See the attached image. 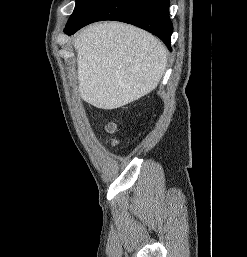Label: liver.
Returning a JSON list of instances; mask_svg holds the SVG:
<instances>
[{"label":"liver","mask_w":247,"mask_h":257,"mask_svg":"<svg viewBox=\"0 0 247 257\" xmlns=\"http://www.w3.org/2000/svg\"><path fill=\"white\" fill-rule=\"evenodd\" d=\"M80 97L96 108L125 106L154 90L167 52L154 35L120 22L84 28L74 40Z\"/></svg>","instance_id":"6515ba94"}]
</instances>
